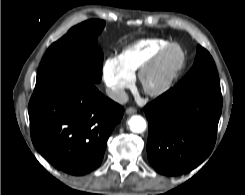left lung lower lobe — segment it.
Instances as JSON below:
<instances>
[{
	"mask_svg": "<svg viewBox=\"0 0 245 195\" xmlns=\"http://www.w3.org/2000/svg\"><path fill=\"white\" fill-rule=\"evenodd\" d=\"M148 160L163 175L188 173L211 153L222 96L171 88L144 108Z\"/></svg>",
	"mask_w": 245,
	"mask_h": 195,
	"instance_id": "1",
	"label": "left lung lower lobe"
}]
</instances>
